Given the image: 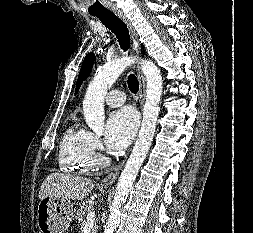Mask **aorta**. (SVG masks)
I'll return each mask as SVG.
<instances>
[{"instance_id": "aorta-1", "label": "aorta", "mask_w": 253, "mask_h": 233, "mask_svg": "<svg viewBox=\"0 0 253 233\" xmlns=\"http://www.w3.org/2000/svg\"><path fill=\"white\" fill-rule=\"evenodd\" d=\"M135 61L136 59L133 57H123L104 65L97 70L95 77L90 82L83 100V114L87 125L96 134H102L105 129L104 97L108 89L126 67ZM140 64L147 81L143 120L132 153L118 180L111 212L104 226V233H114L120 222L121 206L126 201L150 149L160 111L159 102L163 89L160 70L150 60H141Z\"/></svg>"}]
</instances>
